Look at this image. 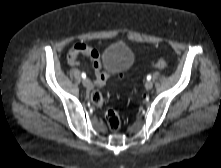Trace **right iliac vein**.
Here are the masks:
<instances>
[{"label":"right iliac vein","instance_id":"63e3f726","mask_svg":"<svg viewBox=\"0 0 221 168\" xmlns=\"http://www.w3.org/2000/svg\"><path fill=\"white\" fill-rule=\"evenodd\" d=\"M82 84H83L86 88H91V87H92L91 81H90L89 79H86V78L82 81Z\"/></svg>","mask_w":221,"mask_h":168}]
</instances>
